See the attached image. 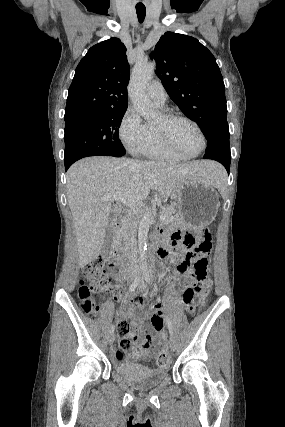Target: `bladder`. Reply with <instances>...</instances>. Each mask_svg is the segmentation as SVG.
Returning a JSON list of instances; mask_svg holds the SVG:
<instances>
[{
  "mask_svg": "<svg viewBox=\"0 0 285 427\" xmlns=\"http://www.w3.org/2000/svg\"><path fill=\"white\" fill-rule=\"evenodd\" d=\"M114 371L122 379L136 388L146 389L158 385L167 376L162 368H149L138 363H130Z\"/></svg>",
  "mask_w": 285,
  "mask_h": 427,
  "instance_id": "obj_1",
  "label": "bladder"
}]
</instances>
